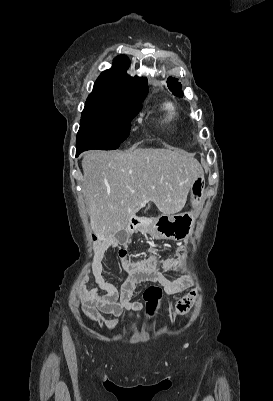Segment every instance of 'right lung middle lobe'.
<instances>
[{
    "mask_svg": "<svg viewBox=\"0 0 273 401\" xmlns=\"http://www.w3.org/2000/svg\"><path fill=\"white\" fill-rule=\"evenodd\" d=\"M140 107L87 100L80 120L76 150L117 149L130 133Z\"/></svg>",
    "mask_w": 273,
    "mask_h": 401,
    "instance_id": "right-lung-middle-lobe-1",
    "label": "right lung middle lobe"
}]
</instances>
